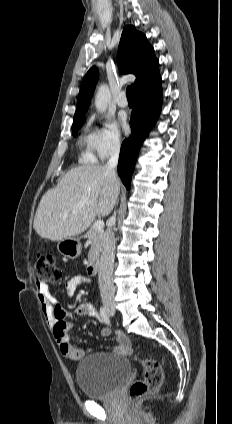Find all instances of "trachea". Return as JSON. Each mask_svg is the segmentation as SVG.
<instances>
[{"instance_id": "trachea-1", "label": "trachea", "mask_w": 232, "mask_h": 424, "mask_svg": "<svg viewBox=\"0 0 232 424\" xmlns=\"http://www.w3.org/2000/svg\"><path fill=\"white\" fill-rule=\"evenodd\" d=\"M128 100H134L135 98V86L131 85L126 90Z\"/></svg>"}]
</instances>
